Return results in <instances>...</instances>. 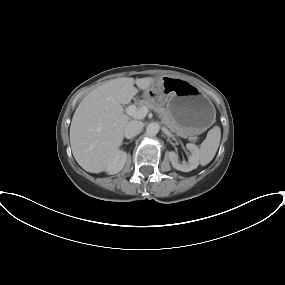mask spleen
<instances>
[{"label": "spleen", "instance_id": "spleen-1", "mask_svg": "<svg viewBox=\"0 0 285 285\" xmlns=\"http://www.w3.org/2000/svg\"><path fill=\"white\" fill-rule=\"evenodd\" d=\"M221 140V129L219 126H214L207 133L205 140L201 143L199 154L200 164L207 165L214 158Z\"/></svg>", "mask_w": 285, "mask_h": 285}]
</instances>
